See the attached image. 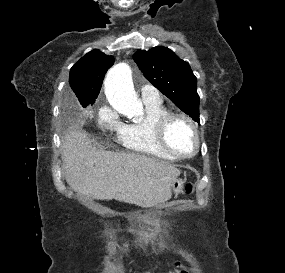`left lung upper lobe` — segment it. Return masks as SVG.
<instances>
[{
  "label": "left lung upper lobe",
  "mask_w": 285,
  "mask_h": 273,
  "mask_svg": "<svg viewBox=\"0 0 285 273\" xmlns=\"http://www.w3.org/2000/svg\"><path fill=\"white\" fill-rule=\"evenodd\" d=\"M145 77L194 121L199 120L197 79L187 62L166 47L140 50L134 54Z\"/></svg>",
  "instance_id": "left-lung-upper-lobe-1"
}]
</instances>
